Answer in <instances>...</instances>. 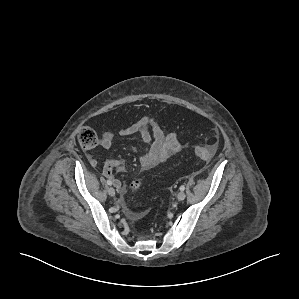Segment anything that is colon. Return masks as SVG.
Instances as JSON below:
<instances>
[{
  "label": "colon",
  "mask_w": 299,
  "mask_h": 299,
  "mask_svg": "<svg viewBox=\"0 0 299 299\" xmlns=\"http://www.w3.org/2000/svg\"><path fill=\"white\" fill-rule=\"evenodd\" d=\"M78 141L83 148L91 149L97 145L98 138L94 130L89 127H82L78 133ZM215 153L216 146L214 144L197 146L195 148L196 156L203 160H210ZM140 186L141 182L139 180H136L131 184L133 190H138Z\"/></svg>",
  "instance_id": "colon-1"
}]
</instances>
